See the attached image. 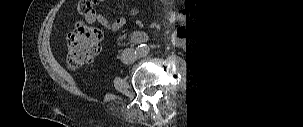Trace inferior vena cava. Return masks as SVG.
<instances>
[{"label":"inferior vena cava","mask_w":303,"mask_h":127,"mask_svg":"<svg viewBox=\"0 0 303 127\" xmlns=\"http://www.w3.org/2000/svg\"><path fill=\"white\" fill-rule=\"evenodd\" d=\"M137 58H138V53L133 48L125 49L121 54V61L124 64H132L137 60Z\"/></svg>","instance_id":"1"}]
</instances>
